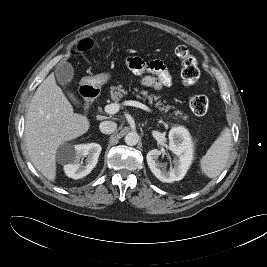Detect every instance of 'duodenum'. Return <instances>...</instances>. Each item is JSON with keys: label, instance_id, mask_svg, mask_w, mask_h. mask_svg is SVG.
<instances>
[{"label": "duodenum", "instance_id": "obj_1", "mask_svg": "<svg viewBox=\"0 0 267 267\" xmlns=\"http://www.w3.org/2000/svg\"><path fill=\"white\" fill-rule=\"evenodd\" d=\"M80 91L85 100L88 102L96 100L97 96L99 95L98 88L92 84H84Z\"/></svg>", "mask_w": 267, "mask_h": 267}]
</instances>
